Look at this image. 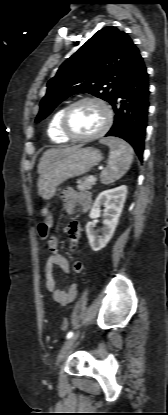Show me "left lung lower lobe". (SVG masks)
<instances>
[{
    "label": "left lung lower lobe",
    "mask_w": 168,
    "mask_h": 415,
    "mask_svg": "<svg viewBox=\"0 0 168 415\" xmlns=\"http://www.w3.org/2000/svg\"><path fill=\"white\" fill-rule=\"evenodd\" d=\"M115 112L114 124L106 136L124 139L143 158L145 131L149 107L148 74L139 57L121 82L110 103Z\"/></svg>",
    "instance_id": "1"
}]
</instances>
